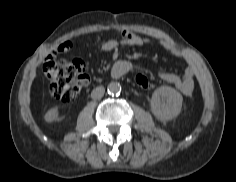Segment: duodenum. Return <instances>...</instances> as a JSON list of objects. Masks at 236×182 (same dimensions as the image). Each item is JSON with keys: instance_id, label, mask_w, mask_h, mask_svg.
Here are the masks:
<instances>
[{"instance_id": "1", "label": "duodenum", "mask_w": 236, "mask_h": 182, "mask_svg": "<svg viewBox=\"0 0 236 182\" xmlns=\"http://www.w3.org/2000/svg\"><path fill=\"white\" fill-rule=\"evenodd\" d=\"M130 66L125 61L118 62L113 68V76L120 78L130 73Z\"/></svg>"}]
</instances>
